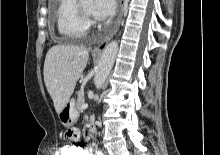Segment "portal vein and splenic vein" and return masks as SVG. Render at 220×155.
I'll list each match as a JSON object with an SVG mask.
<instances>
[{
	"label": "portal vein and splenic vein",
	"instance_id": "portal-vein-and-splenic-vein-1",
	"mask_svg": "<svg viewBox=\"0 0 220 155\" xmlns=\"http://www.w3.org/2000/svg\"><path fill=\"white\" fill-rule=\"evenodd\" d=\"M88 107V104H83L82 105V109H85V108H87Z\"/></svg>",
	"mask_w": 220,
	"mask_h": 155
}]
</instances>
